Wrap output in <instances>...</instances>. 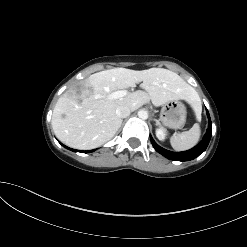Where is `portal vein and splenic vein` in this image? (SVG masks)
<instances>
[{"label": "portal vein and splenic vein", "instance_id": "1", "mask_svg": "<svg viewBox=\"0 0 247 247\" xmlns=\"http://www.w3.org/2000/svg\"><path fill=\"white\" fill-rule=\"evenodd\" d=\"M127 94H128V91L127 90H119V91H116V92L111 93L110 97L112 99H116V98L123 97V96H125Z\"/></svg>", "mask_w": 247, "mask_h": 247}]
</instances>
